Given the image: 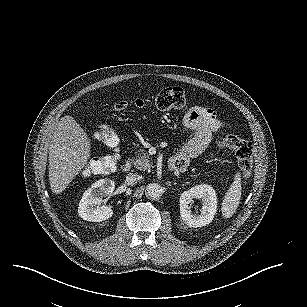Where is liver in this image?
<instances>
[{"label":"liver","instance_id":"1","mask_svg":"<svg viewBox=\"0 0 307 307\" xmlns=\"http://www.w3.org/2000/svg\"><path fill=\"white\" fill-rule=\"evenodd\" d=\"M89 150L84 130L71 116L62 117L48 148V176L54 193H61L86 164Z\"/></svg>","mask_w":307,"mask_h":307}]
</instances>
